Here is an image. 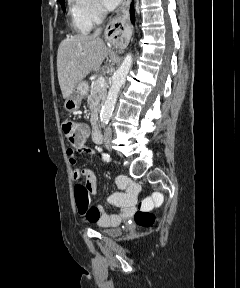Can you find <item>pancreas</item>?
Instances as JSON below:
<instances>
[{"instance_id":"obj_1","label":"pancreas","mask_w":240,"mask_h":288,"mask_svg":"<svg viewBox=\"0 0 240 288\" xmlns=\"http://www.w3.org/2000/svg\"><path fill=\"white\" fill-rule=\"evenodd\" d=\"M107 93L106 86L99 87L97 81H94L91 87V93L88 96L87 104L91 110V115H95L99 109L100 104L104 101Z\"/></svg>"}]
</instances>
